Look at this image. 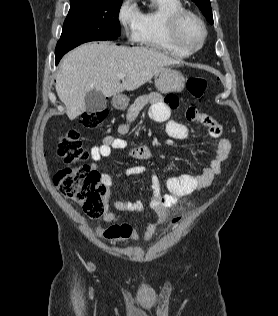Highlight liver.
<instances>
[{
  "instance_id": "6515ba94",
  "label": "liver",
  "mask_w": 278,
  "mask_h": 316,
  "mask_svg": "<svg viewBox=\"0 0 278 316\" xmlns=\"http://www.w3.org/2000/svg\"><path fill=\"white\" fill-rule=\"evenodd\" d=\"M179 64L156 49L124 47L109 42L83 44L62 60L56 76V92L70 120L85 109V95L95 89L105 97L134 91L162 68ZM125 74L120 79L118 74Z\"/></svg>"
}]
</instances>
